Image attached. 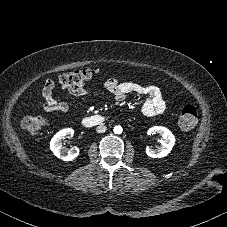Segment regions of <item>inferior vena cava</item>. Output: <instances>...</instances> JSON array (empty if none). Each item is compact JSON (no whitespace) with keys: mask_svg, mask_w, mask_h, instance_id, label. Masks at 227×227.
<instances>
[{"mask_svg":"<svg viewBox=\"0 0 227 227\" xmlns=\"http://www.w3.org/2000/svg\"><path fill=\"white\" fill-rule=\"evenodd\" d=\"M107 130V127L104 124H100L96 128V132L98 133H104Z\"/></svg>","mask_w":227,"mask_h":227,"instance_id":"obj_1","label":"inferior vena cava"}]
</instances>
